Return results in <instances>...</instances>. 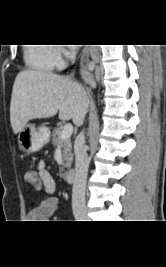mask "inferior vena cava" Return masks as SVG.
Wrapping results in <instances>:
<instances>
[{
	"label": "inferior vena cava",
	"instance_id": "inferior-vena-cava-1",
	"mask_svg": "<svg viewBox=\"0 0 166 267\" xmlns=\"http://www.w3.org/2000/svg\"><path fill=\"white\" fill-rule=\"evenodd\" d=\"M73 74L70 75L72 77ZM85 136L81 132L75 141V178L72 189V208L74 212L85 208V189L89 160L84 148Z\"/></svg>",
	"mask_w": 166,
	"mask_h": 267
}]
</instances>
